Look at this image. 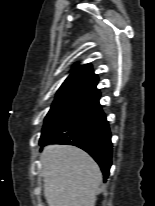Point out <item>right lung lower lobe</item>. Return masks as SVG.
<instances>
[{
    "instance_id": "obj_1",
    "label": "right lung lower lobe",
    "mask_w": 155,
    "mask_h": 206,
    "mask_svg": "<svg viewBox=\"0 0 155 206\" xmlns=\"http://www.w3.org/2000/svg\"><path fill=\"white\" fill-rule=\"evenodd\" d=\"M67 144L88 152L107 180L111 167L112 143L109 124L101 106L40 139V145Z\"/></svg>"
}]
</instances>
